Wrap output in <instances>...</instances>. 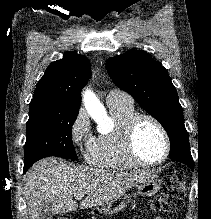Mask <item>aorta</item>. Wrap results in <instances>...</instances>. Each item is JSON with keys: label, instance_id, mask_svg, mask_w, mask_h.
Listing matches in <instances>:
<instances>
[{"label": "aorta", "instance_id": "aorta-1", "mask_svg": "<svg viewBox=\"0 0 211 219\" xmlns=\"http://www.w3.org/2000/svg\"><path fill=\"white\" fill-rule=\"evenodd\" d=\"M85 104L94 117H97V115L101 116L104 113L102 105L98 102L96 97L91 92L86 93Z\"/></svg>", "mask_w": 211, "mask_h": 219}]
</instances>
